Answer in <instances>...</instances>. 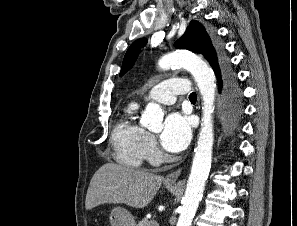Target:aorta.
Returning a JSON list of instances; mask_svg holds the SVG:
<instances>
[{"label": "aorta", "instance_id": "aorta-1", "mask_svg": "<svg viewBox=\"0 0 297 226\" xmlns=\"http://www.w3.org/2000/svg\"><path fill=\"white\" fill-rule=\"evenodd\" d=\"M158 65L162 70L183 67L189 70L202 96L201 131L195 149L191 173L188 179L183 205L177 226H191L208 178L214 141L213 118L216 78L210 66L193 53L175 51L163 56ZM163 112L156 103H149L142 115V123L152 131L162 129Z\"/></svg>", "mask_w": 297, "mask_h": 226}]
</instances>
